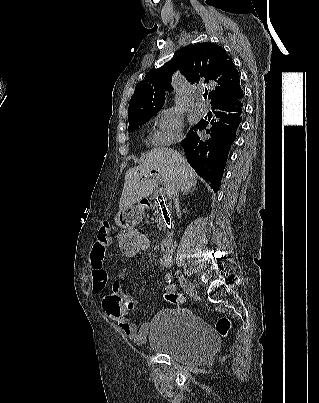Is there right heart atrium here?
I'll return each instance as SVG.
<instances>
[{
    "label": "right heart atrium",
    "mask_w": 319,
    "mask_h": 403,
    "mask_svg": "<svg viewBox=\"0 0 319 403\" xmlns=\"http://www.w3.org/2000/svg\"><path fill=\"white\" fill-rule=\"evenodd\" d=\"M152 143L155 146H169L181 140L183 122L173 108L159 110L153 118Z\"/></svg>",
    "instance_id": "right-heart-atrium-1"
}]
</instances>
